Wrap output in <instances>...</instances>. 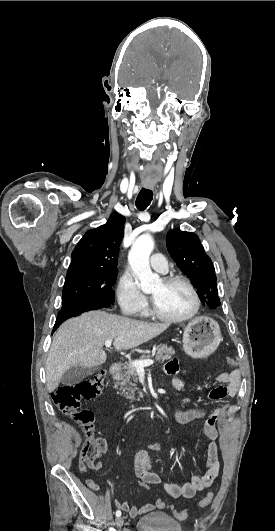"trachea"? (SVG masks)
<instances>
[{
	"label": "trachea",
	"mask_w": 275,
	"mask_h": 531,
	"mask_svg": "<svg viewBox=\"0 0 275 531\" xmlns=\"http://www.w3.org/2000/svg\"><path fill=\"white\" fill-rule=\"evenodd\" d=\"M153 199V192L150 189L142 188L136 198V207L143 211L146 209Z\"/></svg>",
	"instance_id": "obj_1"
}]
</instances>
